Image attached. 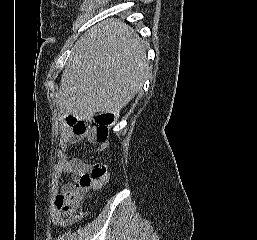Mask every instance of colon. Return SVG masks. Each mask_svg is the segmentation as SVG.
Instances as JSON below:
<instances>
[{"label": "colon", "mask_w": 257, "mask_h": 240, "mask_svg": "<svg viewBox=\"0 0 257 240\" xmlns=\"http://www.w3.org/2000/svg\"><path fill=\"white\" fill-rule=\"evenodd\" d=\"M114 115L110 113L97 114L90 124L80 121L74 117L66 118V126L76 135L84 134L88 129H92L97 140L106 141L109 136L110 127L114 124ZM108 178V168L104 162H97L88 173L79 177L75 188L66 193L59 194L56 197V205L62 211L64 218L69 221H77L81 215L77 208L83 197L89 190L95 188Z\"/></svg>", "instance_id": "colon-1"}]
</instances>
